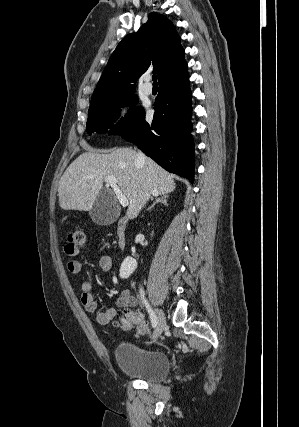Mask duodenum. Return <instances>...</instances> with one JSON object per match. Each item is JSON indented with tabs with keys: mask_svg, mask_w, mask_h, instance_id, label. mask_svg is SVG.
Returning a JSON list of instances; mask_svg holds the SVG:
<instances>
[{
	"mask_svg": "<svg viewBox=\"0 0 299 427\" xmlns=\"http://www.w3.org/2000/svg\"><path fill=\"white\" fill-rule=\"evenodd\" d=\"M127 226L128 221L126 217H123L117 225V244L120 249L125 248L127 243Z\"/></svg>",
	"mask_w": 299,
	"mask_h": 427,
	"instance_id": "1",
	"label": "duodenum"
}]
</instances>
